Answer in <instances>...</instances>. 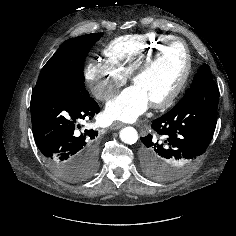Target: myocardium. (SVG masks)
<instances>
[{
    "label": "myocardium",
    "instance_id": "obj_1",
    "mask_svg": "<svg viewBox=\"0 0 236 236\" xmlns=\"http://www.w3.org/2000/svg\"><path fill=\"white\" fill-rule=\"evenodd\" d=\"M179 44L183 47L184 50V58H185V67L183 74L177 84L174 86V88L163 98L159 100H155L150 102V105L153 108H164L168 105H170L182 92L183 88L185 87L190 74H191V68H192V60L191 55L188 49L187 44L185 41L179 38H174L172 40H169L160 46H158L155 50H153L142 62H140L131 72L130 78L131 81L134 83L138 76L146 72L159 58V56L168 48L171 46Z\"/></svg>",
    "mask_w": 236,
    "mask_h": 236
}]
</instances>
